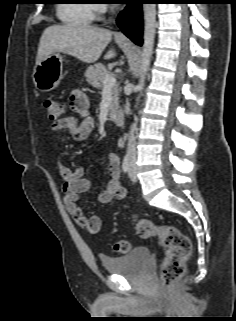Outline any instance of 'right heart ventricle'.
Here are the masks:
<instances>
[{
    "instance_id": "right-heart-ventricle-1",
    "label": "right heart ventricle",
    "mask_w": 236,
    "mask_h": 321,
    "mask_svg": "<svg viewBox=\"0 0 236 321\" xmlns=\"http://www.w3.org/2000/svg\"><path fill=\"white\" fill-rule=\"evenodd\" d=\"M90 0H67L58 6L59 19L68 25H89L93 19L94 5Z\"/></svg>"
}]
</instances>
